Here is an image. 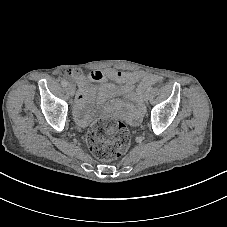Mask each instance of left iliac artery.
<instances>
[{"label": "left iliac artery", "mask_w": 227, "mask_h": 227, "mask_svg": "<svg viewBox=\"0 0 227 227\" xmlns=\"http://www.w3.org/2000/svg\"><path fill=\"white\" fill-rule=\"evenodd\" d=\"M152 90V87H149L146 92H150Z\"/></svg>", "instance_id": "left-iliac-artery-1"}]
</instances>
